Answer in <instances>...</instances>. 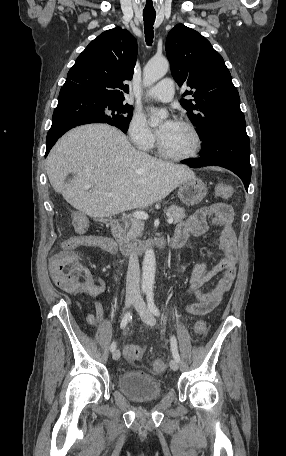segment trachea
I'll list each match as a JSON object with an SVG mask.
<instances>
[{
  "label": "trachea",
  "mask_w": 286,
  "mask_h": 456,
  "mask_svg": "<svg viewBox=\"0 0 286 456\" xmlns=\"http://www.w3.org/2000/svg\"><path fill=\"white\" fill-rule=\"evenodd\" d=\"M155 18L156 13L143 12L145 39L149 46L152 44L154 38L153 25L155 22Z\"/></svg>",
  "instance_id": "trachea-1"
}]
</instances>
